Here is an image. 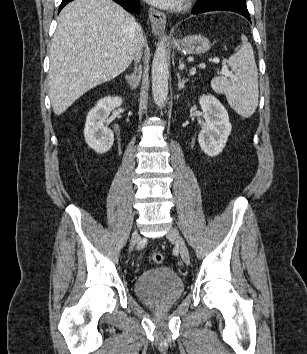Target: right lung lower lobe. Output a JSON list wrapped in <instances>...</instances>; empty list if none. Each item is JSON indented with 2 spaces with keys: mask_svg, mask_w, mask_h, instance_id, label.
I'll list each match as a JSON object with an SVG mask.
<instances>
[{
  "mask_svg": "<svg viewBox=\"0 0 307 354\" xmlns=\"http://www.w3.org/2000/svg\"><path fill=\"white\" fill-rule=\"evenodd\" d=\"M72 0H62L60 5V10ZM118 4H120L124 9L130 12L138 13L140 10V2L139 0H114Z\"/></svg>",
  "mask_w": 307,
  "mask_h": 354,
  "instance_id": "obj_1",
  "label": "right lung lower lobe"
}]
</instances>
